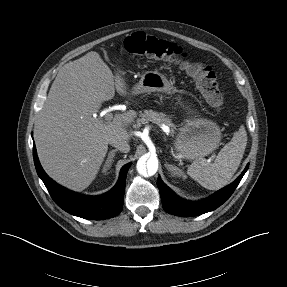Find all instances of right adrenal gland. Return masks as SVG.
<instances>
[{
    "instance_id": "1",
    "label": "right adrenal gland",
    "mask_w": 287,
    "mask_h": 287,
    "mask_svg": "<svg viewBox=\"0 0 287 287\" xmlns=\"http://www.w3.org/2000/svg\"><path fill=\"white\" fill-rule=\"evenodd\" d=\"M118 150L117 149H114V150H111L108 154V158L104 164V167H103V170L102 172L103 173H106L107 170H109L112 166V163L114 161V157H115V153L117 152Z\"/></svg>"
}]
</instances>
